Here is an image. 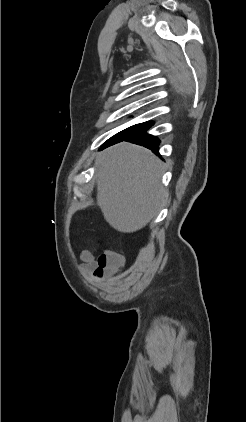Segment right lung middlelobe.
I'll return each mask as SVG.
<instances>
[{
    "label": "right lung middle lobe",
    "instance_id": "dd1d6c3e",
    "mask_svg": "<svg viewBox=\"0 0 246 422\" xmlns=\"http://www.w3.org/2000/svg\"><path fill=\"white\" fill-rule=\"evenodd\" d=\"M153 124H154L153 122H144V123H140V124H136L134 126H131L127 129L117 133L116 135H114L110 139H108L103 144V146L110 145L112 143H116V142H119V141H123L124 139L129 138L130 136L144 130L145 128H147V127H149Z\"/></svg>",
    "mask_w": 246,
    "mask_h": 422
}]
</instances>
